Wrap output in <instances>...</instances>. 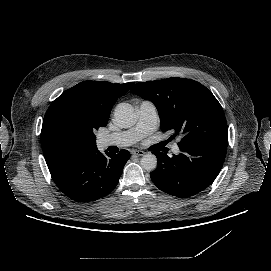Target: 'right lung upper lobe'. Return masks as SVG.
<instances>
[{
  "mask_svg": "<svg viewBox=\"0 0 271 271\" xmlns=\"http://www.w3.org/2000/svg\"><path fill=\"white\" fill-rule=\"evenodd\" d=\"M134 83L113 84L105 81H83L63 92L48 108L45 119L57 107L70 104L79 119L96 130L107 125L111 108L117 99L126 94ZM92 146L90 148H94ZM46 161L62 152L46 150L42 147ZM89 149V148H87Z\"/></svg>",
  "mask_w": 271,
  "mask_h": 271,
  "instance_id": "1",
  "label": "right lung upper lobe"
}]
</instances>
